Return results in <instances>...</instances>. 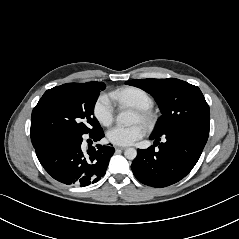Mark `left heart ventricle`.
<instances>
[{"instance_id":"1","label":"left heart ventricle","mask_w":239,"mask_h":239,"mask_svg":"<svg viewBox=\"0 0 239 239\" xmlns=\"http://www.w3.org/2000/svg\"><path fill=\"white\" fill-rule=\"evenodd\" d=\"M134 121H135V122H141V118H140V116H139L138 113H136L135 118H134Z\"/></svg>"}]
</instances>
